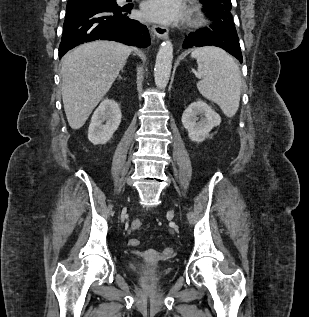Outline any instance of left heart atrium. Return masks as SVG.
<instances>
[{
	"label": "left heart atrium",
	"instance_id": "obj_1",
	"mask_svg": "<svg viewBox=\"0 0 309 317\" xmlns=\"http://www.w3.org/2000/svg\"><path fill=\"white\" fill-rule=\"evenodd\" d=\"M186 7L182 0H148L144 3L141 16L161 23H175L184 19Z\"/></svg>",
	"mask_w": 309,
	"mask_h": 317
}]
</instances>
